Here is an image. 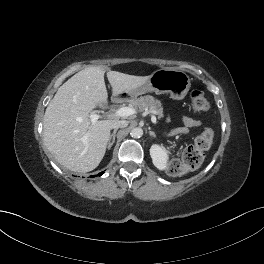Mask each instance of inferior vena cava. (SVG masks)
<instances>
[{
  "mask_svg": "<svg viewBox=\"0 0 264 264\" xmlns=\"http://www.w3.org/2000/svg\"><path fill=\"white\" fill-rule=\"evenodd\" d=\"M128 125L127 121L119 120L112 125V129L124 128Z\"/></svg>",
  "mask_w": 264,
  "mask_h": 264,
  "instance_id": "602c4592",
  "label": "inferior vena cava"
}]
</instances>
